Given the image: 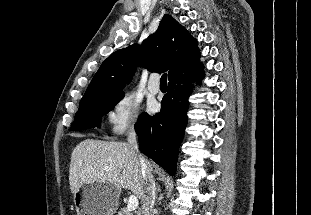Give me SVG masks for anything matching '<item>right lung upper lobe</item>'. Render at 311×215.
<instances>
[{
	"mask_svg": "<svg viewBox=\"0 0 311 215\" xmlns=\"http://www.w3.org/2000/svg\"><path fill=\"white\" fill-rule=\"evenodd\" d=\"M200 61L197 40L171 15H164L155 33L142 45L133 44L111 54L94 75L80 103L124 94L136 66L152 72L168 71L169 80L196 67Z\"/></svg>",
	"mask_w": 311,
	"mask_h": 215,
	"instance_id": "obj_1",
	"label": "right lung upper lobe"
}]
</instances>
